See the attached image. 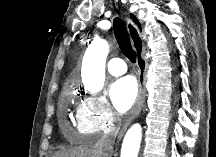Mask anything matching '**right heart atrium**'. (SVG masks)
Listing matches in <instances>:
<instances>
[{"mask_svg":"<svg viewBox=\"0 0 216 157\" xmlns=\"http://www.w3.org/2000/svg\"><path fill=\"white\" fill-rule=\"evenodd\" d=\"M117 122V114L106 98L100 95H84L76 109L75 127L83 135L109 134L116 129Z\"/></svg>","mask_w":216,"mask_h":157,"instance_id":"obj_1","label":"right heart atrium"}]
</instances>
